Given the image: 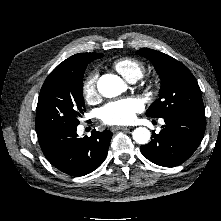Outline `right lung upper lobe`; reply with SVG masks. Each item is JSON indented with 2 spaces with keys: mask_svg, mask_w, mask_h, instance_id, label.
I'll return each instance as SVG.
<instances>
[{
  "mask_svg": "<svg viewBox=\"0 0 221 221\" xmlns=\"http://www.w3.org/2000/svg\"><path fill=\"white\" fill-rule=\"evenodd\" d=\"M102 54L97 53H80L69 57L60 63L54 71L67 70L76 72L82 68H86L91 61L101 58Z\"/></svg>",
  "mask_w": 221,
  "mask_h": 221,
  "instance_id": "1",
  "label": "right lung upper lobe"
}]
</instances>
